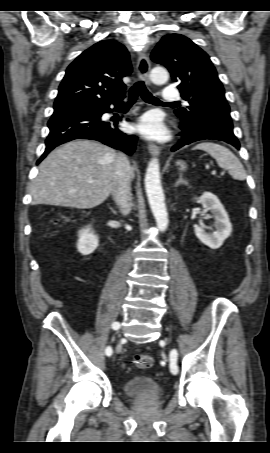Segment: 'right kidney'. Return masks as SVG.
<instances>
[{"label": "right kidney", "instance_id": "right-kidney-1", "mask_svg": "<svg viewBox=\"0 0 270 453\" xmlns=\"http://www.w3.org/2000/svg\"><path fill=\"white\" fill-rule=\"evenodd\" d=\"M99 245L98 236L90 226L83 228L79 231V239L77 243L78 252L82 255H89L93 253Z\"/></svg>", "mask_w": 270, "mask_h": 453}]
</instances>
